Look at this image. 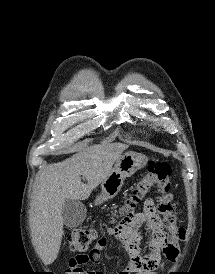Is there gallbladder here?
<instances>
[{
	"instance_id": "1",
	"label": "gallbladder",
	"mask_w": 215,
	"mask_h": 274,
	"mask_svg": "<svg viewBox=\"0 0 215 274\" xmlns=\"http://www.w3.org/2000/svg\"><path fill=\"white\" fill-rule=\"evenodd\" d=\"M85 205L76 200L67 199L62 208L63 222L67 227H77L86 217Z\"/></svg>"
}]
</instances>
